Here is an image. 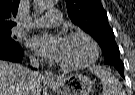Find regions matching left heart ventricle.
Returning <instances> with one entry per match:
<instances>
[{
  "label": "left heart ventricle",
  "instance_id": "1",
  "mask_svg": "<svg viewBox=\"0 0 135 95\" xmlns=\"http://www.w3.org/2000/svg\"><path fill=\"white\" fill-rule=\"evenodd\" d=\"M54 29L53 26H47ZM92 50L89 43L82 37L66 38L65 46L60 62L66 64H77L88 60Z\"/></svg>",
  "mask_w": 135,
  "mask_h": 95
}]
</instances>
